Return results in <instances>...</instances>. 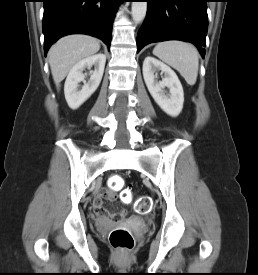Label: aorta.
<instances>
[{"label": "aorta", "mask_w": 258, "mask_h": 275, "mask_svg": "<svg viewBox=\"0 0 258 275\" xmlns=\"http://www.w3.org/2000/svg\"><path fill=\"white\" fill-rule=\"evenodd\" d=\"M147 12V2L132 3V19L135 23H140L144 20Z\"/></svg>", "instance_id": "aorta-1"}]
</instances>
